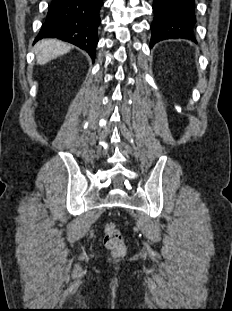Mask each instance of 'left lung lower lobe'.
I'll use <instances>...</instances> for the list:
<instances>
[{"mask_svg":"<svg viewBox=\"0 0 232 311\" xmlns=\"http://www.w3.org/2000/svg\"><path fill=\"white\" fill-rule=\"evenodd\" d=\"M153 12L151 47L164 39H194V0H154Z\"/></svg>","mask_w":232,"mask_h":311,"instance_id":"1","label":"left lung lower lobe"}]
</instances>
